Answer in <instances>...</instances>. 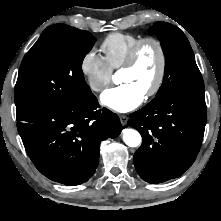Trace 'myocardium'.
I'll return each mask as SVG.
<instances>
[{
    "label": "myocardium",
    "mask_w": 221,
    "mask_h": 221,
    "mask_svg": "<svg viewBox=\"0 0 221 221\" xmlns=\"http://www.w3.org/2000/svg\"><path fill=\"white\" fill-rule=\"evenodd\" d=\"M146 44H153L157 48L159 54V68H158L157 77L152 87L145 93L146 97H152L156 95L161 89L165 79L166 68H167V56L164 46L160 40L154 37H143L140 40H138L128 52L126 60L123 63L121 69L127 70L133 68L136 65L138 56L142 48Z\"/></svg>",
    "instance_id": "1"
}]
</instances>
